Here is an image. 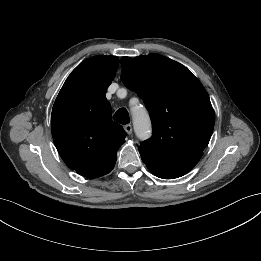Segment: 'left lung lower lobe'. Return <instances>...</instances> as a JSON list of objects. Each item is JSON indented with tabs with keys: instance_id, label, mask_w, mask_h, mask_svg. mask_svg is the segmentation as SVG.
Listing matches in <instances>:
<instances>
[{
	"instance_id": "0a47b994",
	"label": "left lung lower lobe",
	"mask_w": 261,
	"mask_h": 261,
	"mask_svg": "<svg viewBox=\"0 0 261 261\" xmlns=\"http://www.w3.org/2000/svg\"><path fill=\"white\" fill-rule=\"evenodd\" d=\"M150 172H152L154 175L158 176L159 178L163 179H174L182 176V174H177V173H167V172H162L156 169L148 168Z\"/></svg>"
}]
</instances>
